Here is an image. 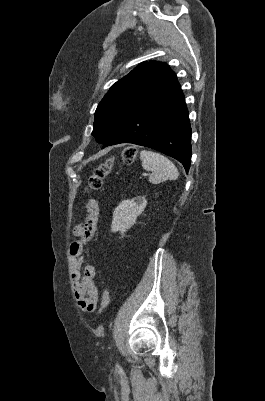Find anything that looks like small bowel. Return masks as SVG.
Masks as SVG:
<instances>
[{
    "instance_id": "obj_1",
    "label": "small bowel",
    "mask_w": 265,
    "mask_h": 401,
    "mask_svg": "<svg viewBox=\"0 0 265 401\" xmlns=\"http://www.w3.org/2000/svg\"><path fill=\"white\" fill-rule=\"evenodd\" d=\"M85 221L73 228V233L78 237L69 248L71 256V275L74 295L78 306L85 312H93L98 302V288L94 281L96 270L93 265L87 264L82 271L84 261L83 248L94 237L99 216V205L96 199L89 198L85 201Z\"/></svg>"
}]
</instances>
